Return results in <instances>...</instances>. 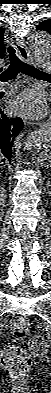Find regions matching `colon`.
Listing matches in <instances>:
<instances>
[{
  "mask_svg": "<svg viewBox=\"0 0 51 393\" xmlns=\"http://www.w3.org/2000/svg\"><path fill=\"white\" fill-rule=\"evenodd\" d=\"M29 323L24 317H15L11 322V329L16 339L26 336ZM30 352L35 356H42L47 351V343L41 336H34L28 344ZM32 360L28 352L19 346H10L2 354L3 366L14 373L21 375L31 366Z\"/></svg>",
  "mask_w": 51,
  "mask_h": 393,
  "instance_id": "obj_1",
  "label": "colon"
}]
</instances>
